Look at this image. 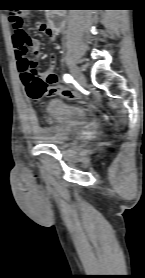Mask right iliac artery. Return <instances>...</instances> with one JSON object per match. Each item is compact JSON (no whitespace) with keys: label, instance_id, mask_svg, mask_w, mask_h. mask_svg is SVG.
<instances>
[{"label":"right iliac artery","instance_id":"right-iliac-artery-1","mask_svg":"<svg viewBox=\"0 0 145 278\" xmlns=\"http://www.w3.org/2000/svg\"><path fill=\"white\" fill-rule=\"evenodd\" d=\"M63 79H64V81H65L66 83H73V82H74L73 77L70 76L69 74H65V75L63 76Z\"/></svg>","mask_w":145,"mask_h":278}]
</instances>
